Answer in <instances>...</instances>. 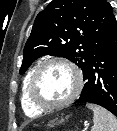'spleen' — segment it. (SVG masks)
Listing matches in <instances>:
<instances>
[{"label":"spleen","instance_id":"1","mask_svg":"<svg viewBox=\"0 0 117 131\" xmlns=\"http://www.w3.org/2000/svg\"><path fill=\"white\" fill-rule=\"evenodd\" d=\"M86 106L94 113L92 131H117V119L111 112L94 104Z\"/></svg>","mask_w":117,"mask_h":131}]
</instances>
